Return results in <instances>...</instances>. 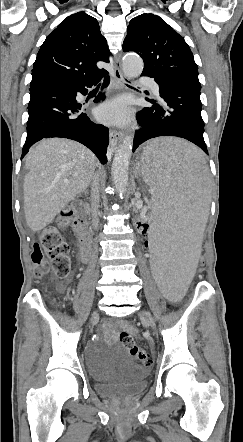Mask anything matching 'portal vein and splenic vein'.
<instances>
[{"mask_svg":"<svg viewBox=\"0 0 243 442\" xmlns=\"http://www.w3.org/2000/svg\"><path fill=\"white\" fill-rule=\"evenodd\" d=\"M65 183H68V180H65ZM153 192V191H152Z\"/></svg>","mask_w":243,"mask_h":442,"instance_id":"obj_1","label":"portal vein and splenic vein"}]
</instances>
